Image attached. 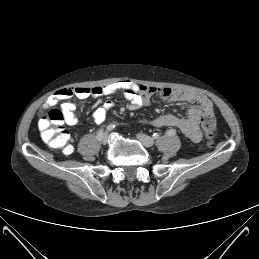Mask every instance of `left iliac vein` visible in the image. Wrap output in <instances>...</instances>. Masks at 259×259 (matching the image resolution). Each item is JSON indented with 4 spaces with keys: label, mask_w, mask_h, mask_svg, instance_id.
Returning a JSON list of instances; mask_svg holds the SVG:
<instances>
[{
    "label": "left iliac vein",
    "mask_w": 259,
    "mask_h": 259,
    "mask_svg": "<svg viewBox=\"0 0 259 259\" xmlns=\"http://www.w3.org/2000/svg\"><path fill=\"white\" fill-rule=\"evenodd\" d=\"M137 139L145 146L152 147L154 145V139L145 134L139 133L137 134Z\"/></svg>",
    "instance_id": "left-iliac-vein-1"
}]
</instances>
